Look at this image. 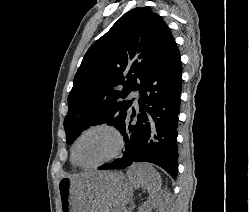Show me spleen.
Masks as SVG:
<instances>
[{
	"instance_id": "obj_1",
	"label": "spleen",
	"mask_w": 249,
	"mask_h": 212,
	"mask_svg": "<svg viewBox=\"0 0 249 212\" xmlns=\"http://www.w3.org/2000/svg\"><path fill=\"white\" fill-rule=\"evenodd\" d=\"M157 176H159V174H157V172H155L154 168H149L148 176H147V182H148L147 188H148L149 192H151V194H153V190H152V186H151L152 178H154V180H156ZM158 190H160V186H159V184H155V192H158Z\"/></svg>"
}]
</instances>
